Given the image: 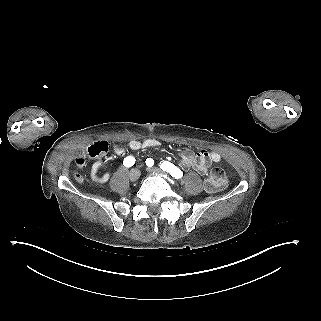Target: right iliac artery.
I'll use <instances>...</instances> for the list:
<instances>
[{
	"label": "right iliac artery",
	"mask_w": 321,
	"mask_h": 321,
	"mask_svg": "<svg viewBox=\"0 0 321 321\" xmlns=\"http://www.w3.org/2000/svg\"><path fill=\"white\" fill-rule=\"evenodd\" d=\"M134 163H135V158L132 157V156L126 157V158L124 159V161H123V165H124L125 167H131V166L134 165Z\"/></svg>",
	"instance_id": "right-iliac-artery-1"
}]
</instances>
